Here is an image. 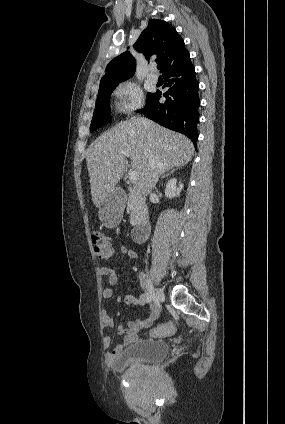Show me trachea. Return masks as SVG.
Masks as SVG:
<instances>
[{"label": "trachea", "instance_id": "1", "mask_svg": "<svg viewBox=\"0 0 285 424\" xmlns=\"http://www.w3.org/2000/svg\"><path fill=\"white\" fill-rule=\"evenodd\" d=\"M157 67H158V69H161V65H158Z\"/></svg>", "mask_w": 285, "mask_h": 424}]
</instances>
